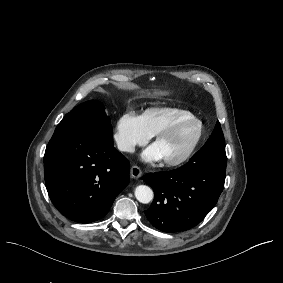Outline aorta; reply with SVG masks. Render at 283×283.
Returning <instances> with one entry per match:
<instances>
[{
	"label": "aorta",
	"mask_w": 283,
	"mask_h": 283,
	"mask_svg": "<svg viewBox=\"0 0 283 283\" xmlns=\"http://www.w3.org/2000/svg\"><path fill=\"white\" fill-rule=\"evenodd\" d=\"M135 197L139 202L147 204L153 200L154 195L150 187L146 185H139L135 189Z\"/></svg>",
	"instance_id": "1"
}]
</instances>
